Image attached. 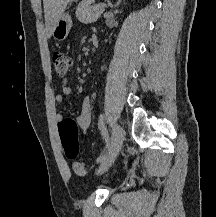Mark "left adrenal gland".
I'll return each mask as SVG.
<instances>
[{"label":"left adrenal gland","mask_w":216,"mask_h":217,"mask_svg":"<svg viewBox=\"0 0 216 217\" xmlns=\"http://www.w3.org/2000/svg\"><path fill=\"white\" fill-rule=\"evenodd\" d=\"M121 1H122V0H118V1L116 2V4H115L114 7L117 8V7L120 5ZM111 7H113V6H111Z\"/></svg>","instance_id":"left-adrenal-gland-1"}]
</instances>
